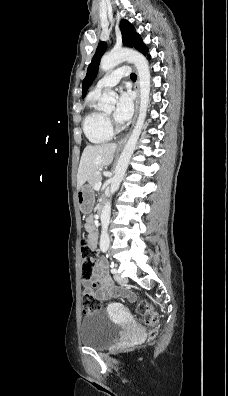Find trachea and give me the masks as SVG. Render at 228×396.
<instances>
[{"instance_id":"1","label":"trachea","mask_w":228,"mask_h":396,"mask_svg":"<svg viewBox=\"0 0 228 396\" xmlns=\"http://www.w3.org/2000/svg\"><path fill=\"white\" fill-rule=\"evenodd\" d=\"M130 78L132 79V80H136V75L134 74V73H132L131 75H130Z\"/></svg>"}]
</instances>
